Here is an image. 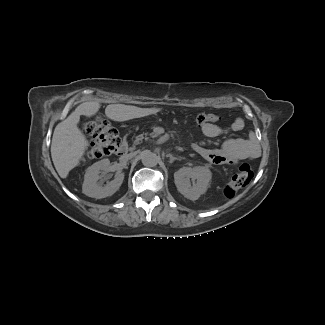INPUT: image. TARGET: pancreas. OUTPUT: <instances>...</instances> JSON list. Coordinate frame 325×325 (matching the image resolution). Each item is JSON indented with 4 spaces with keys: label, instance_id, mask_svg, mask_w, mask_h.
Masks as SVG:
<instances>
[{
    "label": "pancreas",
    "instance_id": "cf45deb5",
    "mask_svg": "<svg viewBox=\"0 0 325 325\" xmlns=\"http://www.w3.org/2000/svg\"><path fill=\"white\" fill-rule=\"evenodd\" d=\"M149 132H150V129H149V128L142 129V130H141V133H140L137 137H134V138H133V143H134V145H135V146H138V145H139V142H140L139 140L142 141L144 136H146V137H147V136H149V137H150V136L155 137L153 134H151V135H150V134L147 135V133H149ZM130 150H131V148H130Z\"/></svg>",
    "mask_w": 325,
    "mask_h": 325
}]
</instances>
